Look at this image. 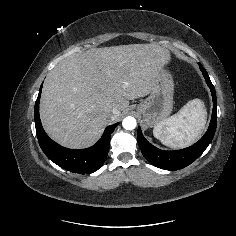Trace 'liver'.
<instances>
[{
    "instance_id": "liver-1",
    "label": "liver",
    "mask_w": 236,
    "mask_h": 236,
    "mask_svg": "<svg viewBox=\"0 0 236 236\" xmlns=\"http://www.w3.org/2000/svg\"><path fill=\"white\" fill-rule=\"evenodd\" d=\"M157 44L92 48L62 60L47 76L40 117L47 134L62 146L93 145L129 100L151 93L159 71L170 62ZM113 109L117 114L111 116Z\"/></svg>"
}]
</instances>
